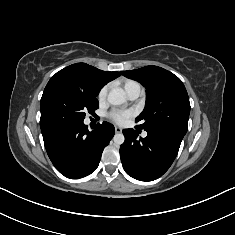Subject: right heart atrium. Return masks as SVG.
Segmentation results:
<instances>
[{"label": "right heart atrium", "mask_w": 235, "mask_h": 235, "mask_svg": "<svg viewBox=\"0 0 235 235\" xmlns=\"http://www.w3.org/2000/svg\"><path fill=\"white\" fill-rule=\"evenodd\" d=\"M108 88V85H105L99 90L97 98L100 102L105 100L108 93Z\"/></svg>", "instance_id": "1"}]
</instances>
